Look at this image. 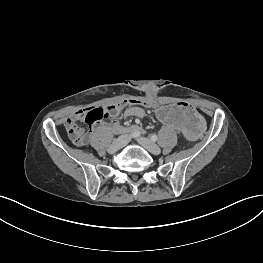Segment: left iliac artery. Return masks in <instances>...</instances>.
Instances as JSON below:
<instances>
[{
    "label": "left iliac artery",
    "mask_w": 263,
    "mask_h": 263,
    "mask_svg": "<svg viewBox=\"0 0 263 263\" xmlns=\"http://www.w3.org/2000/svg\"><path fill=\"white\" fill-rule=\"evenodd\" d=\"M157 139H158L157 135L153 134V135L151 136V140H152V141H157Z\"/></svg>",
    "instance_id": "1"
}]
</instances>
